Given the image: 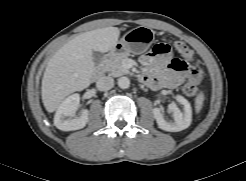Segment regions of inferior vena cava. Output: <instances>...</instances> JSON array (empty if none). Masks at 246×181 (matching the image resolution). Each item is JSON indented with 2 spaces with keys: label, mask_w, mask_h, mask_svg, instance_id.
<instances>
[{
  "label": "inferior vena cava",
  "mask_w": 246,
  "mask_h": 181,
  "mask_svg": "<svg viewBox=\"0 0 246 181\" xmlns=\"http://www.w3.org/2000/svg\"><path fill=\"white\" fill-rule=\"evenodd\" d=\"M114 79L109 76H102L96 82V87L99 91H107L113 88Z\"/></svg>",
  "instance_id": "inferior-vena-cava-1"
}]
</instances>
